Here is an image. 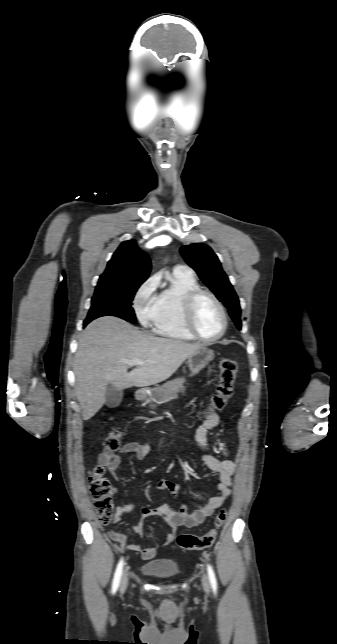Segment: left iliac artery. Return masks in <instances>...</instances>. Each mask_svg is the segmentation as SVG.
Segmentation results:
<instances>
[{
  "label": "left iliac artery",
  "instance_id": "1",
  "mask_svg": "<svg viewBox=\"0 0 337 644\" xmlns=\"http://www.w3.org/2000/svg\"><path fill=\"white\" fill-rule=\"evenodd\" d=\"M207 571H208V576H209V581H210L211 587H212L213 591L216 592V590H217V581H216L214 571H213L211 565H209V564L207 565Z\"/></svg>",
  "mask_w": 337,
  "mask_h": 644
}]
</instances>
